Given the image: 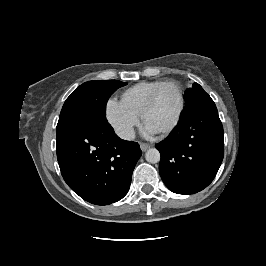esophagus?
I'll return each mask as SVG.
<instances>
[{"label": "esophagus", "instance_id": "34e87169", "mask_svg": "<svg viewBox=\"0 0 266 266\" xmlns=\"http://www.w3.org/2000/svg\"><path fill=\"white\" fill-rule=\"evenodd\" d=\"M140 148L143 152H145L148 148H150V145L147 143H140Z\"/></svg>", "mask_w": 266, "mask_h": 266}]
</instances>
